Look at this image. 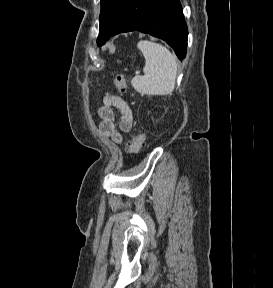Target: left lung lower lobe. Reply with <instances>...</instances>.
Returning <instances> with one entry per match:
<instances>
[{"label": "left lung lower lobe", "mask_w": 273, "mask_h": 288, "mask_svg": "<svg viewBox=\"0 0 273 288\" xmlns=\"http://www.w3.org/2000/svg\"><path fill=\"white\" fill-rule=\"evenodd\" d=\"M140 31L164 40L182 60L188 30L179 0H132L113 35Z\"/></svg>", "instance_id": "1"}]
</instances>
